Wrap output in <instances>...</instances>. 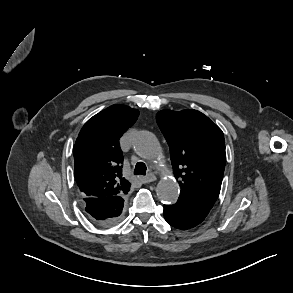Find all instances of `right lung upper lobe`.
<instances>
[{"label": "right lung upper lobe", "mask_w": 293, "mask_h": 293, "mask_svg": "<svg viewBox=\"0 0 293 293\" xmlns=\"http://www.w3.org/2000/svg\"><path fill=\"white\" fill-rule=\"evenodd\" d=\"M136 109L113 105L88 120L75 142V179L85 198L124 196L130 183L122 177L120 137L135 123Z\"/></svg>", "instance_id": "cb5924a9"}]
</instances>
